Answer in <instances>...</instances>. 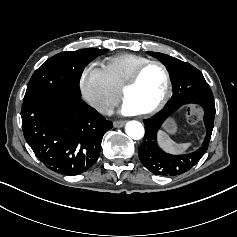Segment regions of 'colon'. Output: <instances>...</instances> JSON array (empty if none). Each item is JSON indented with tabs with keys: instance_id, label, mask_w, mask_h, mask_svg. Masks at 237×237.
Listing matches in <instances>:
<instances>
[{
	"instance_id": "1",
	"label": "colon",
	"mask_w": 237,
	"mask_h": 237,
	"mask_svg": "<svg viewBox=\"0 0 237 237\" xmlns=\"http://www.w3.org/2000/svg\"><path fill=\"white\" fill-rule=\"evenodd\" d=\"M186 115L190 123H198L202 120L204 113L200 106L191 104L187 108Z\"/></svg>"
}]
</instances>
